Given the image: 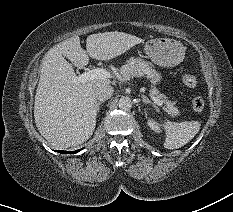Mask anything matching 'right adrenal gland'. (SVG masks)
<instances>
[{
  "label": "right adrenal gland",
  "mask_w": 233,
  "mask_h": 212,
  "mask_svg": "<svg viewBox=\"0 0 233 212\" xmlns=\"http://www.w3.org/2000/svg\"><path fill=\"white\" fill-rule=\"evenodd\" d=\"M103 103H104V101H99V102L97 103L98 110L100 109V105L103 104Z\"/></svg>",
  "instance_id": "right-adrenal-gland-1"
}]
</instances>
